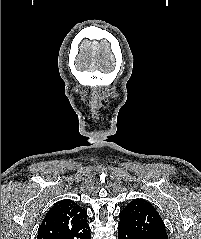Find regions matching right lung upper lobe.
Segmentation results:
<instances>
[{
	"label": "right lung upper lobe",
	"instance_id": "obj_1",
	"mask_svg": "<svg viewBox=\"0 0 201 239\" xmlns=\"http://www.w3.org/2000/svg\"><path fill=\"white\" fill-rule=\"evenodd\" d=\"M87 212L64 199L52 206L38 230L37 239H89Z\"/></svg>",
	"mask_w": 201,
	"mask_h": 239
}]
</instances>
